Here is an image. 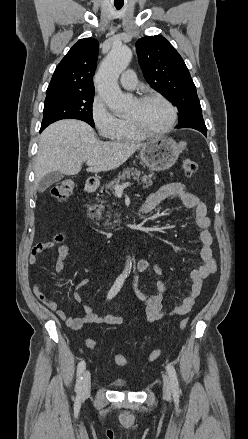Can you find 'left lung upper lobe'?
Masks as SVG:
<instances>
[{
  "instance_id": "obj_1",
  "label": "left lung upper lobe",
  "mask_w": 248,
  "mask_h": 439,
  "mask_svg": "<svg viewBox=\"0 0 248 439\" xmlns=\"http://www.w3.org/2000/svg\"><path fill=\"white\" fill-rule=\"evenodd\" d=\"M139 64L146 81L179 110L177 128L207 129L196 87L175 48L161 35L136 42Z\"/></svg>"
}]
</instances>
